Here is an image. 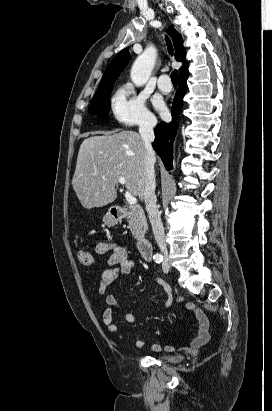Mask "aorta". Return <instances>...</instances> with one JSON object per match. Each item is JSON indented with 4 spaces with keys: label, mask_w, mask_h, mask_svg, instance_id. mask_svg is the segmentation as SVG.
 Instances as JSON below:
<instances>
[{
    "label": "aorta",
    "mask_w": 272,
    "mask_h": 411,
    "mask_svg": "<svg viewBox=\"0 0 272 411\" xmlns=\"http://www.w3.org/2000/svg\"><path fill=\"white\" fill-rule=\"evenodd\" d=\"M156 60V50L154 48H147L140 56L135 60L131 68V80L136 86L144 85L154 68ZM159 254H155V258H159Z\"/></svg>",
    "instance_id": "aorta-1"
}]
</instances>
